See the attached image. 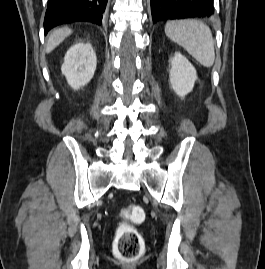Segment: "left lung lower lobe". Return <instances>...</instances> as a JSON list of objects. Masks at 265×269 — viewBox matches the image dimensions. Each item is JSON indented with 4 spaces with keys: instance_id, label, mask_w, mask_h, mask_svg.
<instances>
[{
    "instance_id": "obj_1",
    "label": "left lung lower lobe",
    "mask_w": 265,
    "mask_h": 269,
    "mask_svg": "<svg viewBox=\"0 0 265 269\" xmlns=\"http://www.w3.org/2000/svg\"><path fill=\"white\" fill-rule=\"evenodd\" d=\"M153 23L183 19L209 18L214 14L213 0H151Z\"/></svg>"
}]
</instances>
